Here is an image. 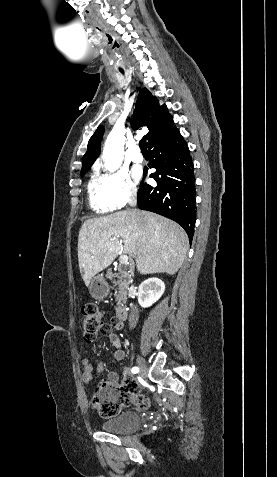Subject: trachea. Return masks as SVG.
I'll list each match as a JSON object with an SVG mask.
<instances>
[{
	"label": "trachea",
	"instance_id": "trachea-1",
	"mask_svg": "<svg viewBox=\"0 0 277 477\" xmlns=\"http://www.w3.org/2000/svg\"><path fill=\"white\" fill-rule=\"evenodd\" d=\"M121 73L123 74V71H121ZM139 147H140L142 153H148L146 140H144V139L140 140Z\"/></svg>",
	"mask_w": 277,
	"mask_h": 477
}]
</instances>
